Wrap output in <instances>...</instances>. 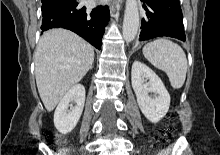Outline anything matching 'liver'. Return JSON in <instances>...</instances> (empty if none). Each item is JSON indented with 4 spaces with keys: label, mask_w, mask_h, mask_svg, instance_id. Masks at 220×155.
Listing matches in <instances>:
<instances>
[{
    "label": "liver",
    "mask_w": 220,
    "mask_h": 155,
    "mask_svg": "<svg viewBox=\"0 0 220 155\" xmlns=\"http://www.w3.org/2000/svg\"><path fill=\"white\" fill-rule=\"evenodd\" d=\"M93 61V47L73 32L59 28L43 34L35 53V77L47 111L82 80Z\"/></svg>",
    "instance_id": "6515ba94"
}]
</instances>
